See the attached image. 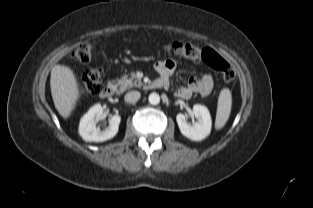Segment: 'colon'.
I'll use <instances>...</instances> for the list:
<instances>
[{
	"label": "colon",
	"mask_w": 313,
	"mask_h": 208,
	"mask_svg": "<svg viewBox=\"0 0 313 208\" xmlns=\"http://www.w3.org/2000/svg\"><path fill=\"white\" fill-rule=\"evenodd\" d=\"M164 50L173 53L177 56L192 60L204 61L214 70L221 73L222 78L226 82H231L235 79V71L230 64L223 59L217 52L210 48L200 50L195 45L185 42H173L164 45ZM93 54V46L88 42L79 44L72 51V58L81 64L88 63ZM101 85V70L98 68L89 69L81 78V91L84 94L98 93Z\"/></svg>",
	"instance_id": "5ec220e1"
}]
</instances>
